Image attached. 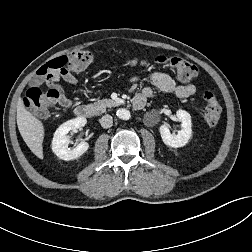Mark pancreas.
<instances>
[{"label": "pancreas", "instance_id": "1", "mask_svg": "<svg viewBox=\"0 0 252 252\" xmlns=\"http://www.w3.org/2000/svg\"><path fill=\"white\" fill-rule=\"evenodd\" d=\"M118 106V103L111 99H99L94 103V111L96 114L106 112L107 108Z\"/></svg>", "mask_w": 252, "mask_h": 252}]
</instances>
